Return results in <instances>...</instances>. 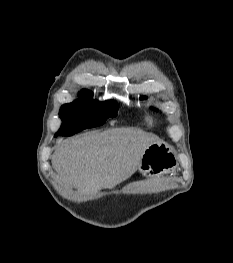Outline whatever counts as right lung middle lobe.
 I'll use <instances>...</instances> for the list:
<instances>
[{"label": "right lung middle lobe", "instance_id": "1", "mask_svg": "<svg viewBox=\"0 0 233 263\" xmlns=\"http://www.w3.org/2000/svg\"><path fill=\"white\" fill-rule=\"evenodd\" d=\"M117 103L114 100L99 102L90 98H81L60 109L62 125L55 136H71L84 129L101 126L108 118L117 115Z\"/></svg>", "mask_w": 233, "mask_h": 263}]
</instances>
